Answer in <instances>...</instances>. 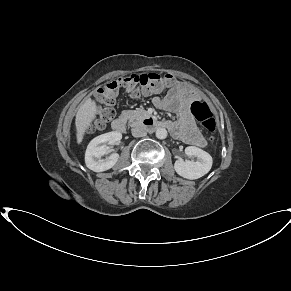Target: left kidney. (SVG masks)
I'll return each mask as SVG.
<instances>
[{
	"instance_id": "1",
	"label": "left kidney",
	"mask_w": 291,
	"mask_h": 291,
	"mask_svg": "<svg viewBox=\"0 0 291 291\" xmlns=\"http://www.w3.org/2000/svg\"><path fill=\"white\" fill-rule=\"evenodd\" d=\"M187 156H195L197 161L179 159L174 164V169L178 175L186 179H198L207 174L212 167V157L206 151L189 146L185 148Z\"/></svg>"
}]
</instances>
